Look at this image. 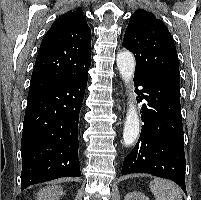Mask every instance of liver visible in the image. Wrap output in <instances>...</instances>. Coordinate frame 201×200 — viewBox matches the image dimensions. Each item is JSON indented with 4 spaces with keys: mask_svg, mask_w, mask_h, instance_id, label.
Instances as JSON below:
<instances>
[{
    "mask_svg": "<svg viewBox=\"0 0 201 200\" xmlns=\"http://www.w3.org/2000/svg\"><path fill=\"white\" fill-rule=\"evenodd\" d=\"M63 194L61 186L52 185L41 189L37 194V200H59Z\"/></svg>",
    "mask_w": 201,
    "mask_h": 200,
    "instance_id": "liver-1",
    "label": "liver"
}]
</instances>
